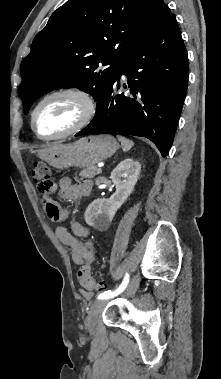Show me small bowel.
<instances>
[{"label": "small bowel", "mask_w": 221, "mask_h": 379, "mask_svg": "<svg viewBox=\"0 0 221 379\" xmlns=\"http://www.w3.org/2000/svg\"><path fill=\"white\" fill-rule=\"evenodd\" d=\"M91 187L92 184L88 180L74 184L69 177L60 178L58 185L52 184L50 192L46 195H42L48 218L55 222H60L67 218V212L62 210L53 198H50V195L53 194L57 188L59 189L60 196L64 200L71 201L88 196L91 192ZM55 233L60 242L70 250L71 258L74 263L78 265L83 264L85 262L87 248L78 239L88 237L90 234L89 229L77 221H71L69 227L64 225L57 226ZM85 296L90 297V294L85 293Z\"/></svg>", "instance_id": "c3829d8e"}]
</instances>
